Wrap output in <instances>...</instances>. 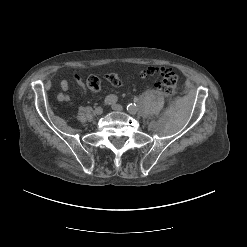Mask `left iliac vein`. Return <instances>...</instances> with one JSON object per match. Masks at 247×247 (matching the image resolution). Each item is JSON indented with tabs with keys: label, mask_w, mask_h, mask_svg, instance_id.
Masks as SVG:
<instances>
[{
	"label": "left iliac vein",
	"mask_w": 247,
	"mask_h": 247,
	"mask_svg": "<svg viewBox=\"0 0 247 247\" xmlns=\"http://www.w3.org/2000/svg\"><path fill=\"white\" fill-rule=\"evenodd\" d=\"M112 109L114 111H122L123 110V107L120 104H113L112 105Z\"/></svg>",
	"instance_id": "left-iliac-vein-1"
}]
</instances>
